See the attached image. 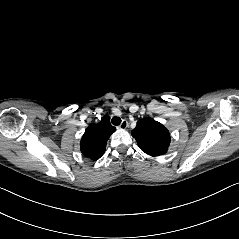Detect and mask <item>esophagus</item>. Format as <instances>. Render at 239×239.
<instances>
[{
    "label": "esophagus",
    "instance_id": "34e87169",
    "mask_svg": "<svg viewBox=\"0 0 239 239\" xmlns=\"http://www.w3.org/2000/svg\"><path fill=\"white\" fill-rule=\"evenodd\" d=\"M128 126V122L126 120H122L121 124L118 126L119 129L124 130Z\"/></svg>",
    "mask_w": 239,
    "mask_h": 239
}]
</instances>
